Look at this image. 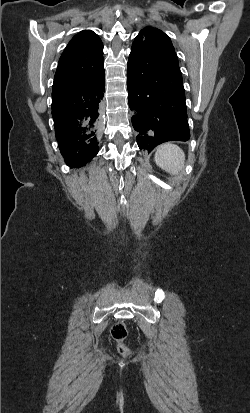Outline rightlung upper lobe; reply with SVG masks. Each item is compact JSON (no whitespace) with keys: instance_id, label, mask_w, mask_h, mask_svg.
I'll return each mask as SVG.
<instances>
[{"instance_id":"obj_1","label":"right lung upper lobe","mask_w":250,"mask_h":413,"mask_svg":"<svg viewBox=\"0 0 250 413\" xmlns=\"http://www.w3.org/2000/svg\"><path fill=\"white\" fill-rule=\"evenodd\" d=\"M103 69L102 41L93 31H81L72 38L60 57L53 89L90 82Z\"/></svg>"}]
</instances>
